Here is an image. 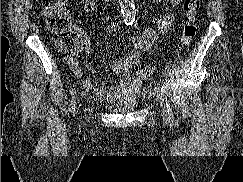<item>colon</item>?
<instances>
[{
  "label": "colon",
  "instance_id": "1",
  "mask_svg": "<svg viewBox=\"0 0 243 182\" xmlns=\"http://www.w3.org/2000/svg\"><path fill=\"white\" fill-rule=\"evenodd\" d=\"M201 0H184L183 10L186 16L180 38L179 49L187 48L197 33L196 17L200 9ZM48 29L53 34V41L59 54L65 60L75 57L77 40L74 30L70 26V16L66 0H48L42 9ZM155 68L148 66L138 71V77L143 80L151 79Z\"/></svg>",
  "mask_w": 243,
  "mask_h": 182
}]
</instances>
